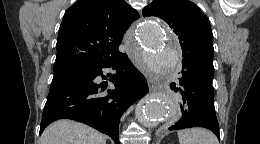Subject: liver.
I'll return each instance as SVG.
<instances>
[{
	"label": "liver",
	"instance_id": "obj_1",
	"mask_svg": "<svg viewBox=\"0 0 260 144\" xmlns=\"http://www.w3.org/2000/svg\"><path fill=\"white\" fill-rule=\"evenodd\" d=\"M106 136L75 121L62 119L50 124L42 133L40 144H106Z\"/></svg>",
	"mask_w": 260,
	"mask_h": 144
}]
</instances>
